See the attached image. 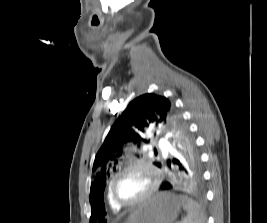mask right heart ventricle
Instances as JSON below:
<instances>
[{
  "instance_id": "1",
  "label": "right heart ventricle",
  "mask_w": 267,
  "mask_h": 223,
  "mask_svg": "<svg viewBox=\"0 0 267 223\" xmlns=\"http://www.w3.org/2000/svg\"><path fill=\"white\" fill-rule=\"evenodd\" d=\"M107 201H108V204L109 206L112 208V210L114 211H118L120 207H118L114 202L113 200L111 199L110 197V194H109V190L107 192Z\"/></svg>"
}]
</instances>
